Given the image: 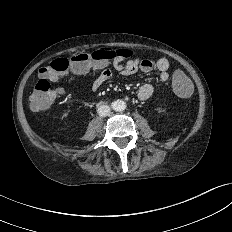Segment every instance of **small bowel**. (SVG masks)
Segmentation results:
<instances>
[{
    "instance_id": "1",
    "label": "small bowel",
    "mask_w": 232,
    "mask_h": 232,
    "mask_svg": "<svg viewBox=\"0 0 232 232\" xmlns=\"http://www.w3.org/2000/svg\"><path fill=\"white\" fill-rule=\"evenodd\" d=\"M112 63V68L107 67V63L96 64V69H101V73L91 82L92 91H97L101 86L114 74L119 76H130L134 75L137 72L150 73L152 71H157L159 73V79L162 82H166L169 79V61L165 58H160L158 60H153L150 58H136L128 59L121 56H116L110 60ZM87 71V70H86ZM82 73L75 74H84ZM74 73V72H73ZM154 92V87L150 83L143 84L138 92L137 98L139 100H146L152 96Z\"/></svg>"
}]
</instances>
